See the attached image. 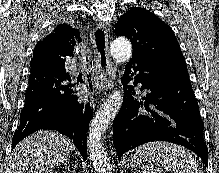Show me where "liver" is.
<instances>
[{"label": "liver", "instance_id": "obj_1", "mask_svg": "<svg viewBox=\"0 0 219 173\" xmlns=\"http://www.w3.org/2000/svg\"><path fill=\"white\" fill-rule=\"evenodd\" d=\"M75 146L66 136L48 130L23 139L11 154L8 173H49L67 160Z\"/></svg>", "mask_w": 219, "mask_h": 173}]
</instances>
